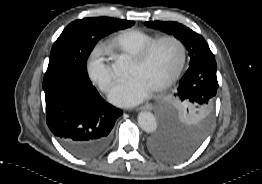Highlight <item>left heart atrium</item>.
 <instances>
[{"mask_svg":"<svg viewBox=\"0 0 262 184\" xmlns=\"http://www.w3.org/2000/svg\"><path fill=\"white\" fill-rule=\"evenodd\" d=\"M152 88L140 77L120 81L109 93V100L118 106H134L148 98Z\"/></svg>","mask_w":262,"mask_h":184,"instance_id":"obj_1","label":"left heart atrium"}]
</instances>
